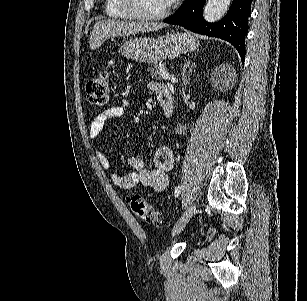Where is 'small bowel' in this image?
Returning a JSON list of instances; mask_svg holds the SVG:
<instances>
[{
    "instance_id": "1",
    "label": "small bowel",
    "mask_w": 307,
    "mask_h": 301,
    "mask_svg": "<svg viewBox=\"0 0 307 301\" xmlns=\"http://www.w3.org/2000/svg\"><path fill=\"white\" fill-rule=\"evenodd\" d=\"M151 88L158 96L167 90L166 87L157 84H153ZM127 109L128 104L123 101L99 113L91 123L89 131L90 139L94 142L98 141L106 123L122 117ZM96 156L103 168H110L109 159L103 150L97 149ZM155 162L156 168L148 169L139 155L136 152H131L128 155L127 164L132 171L125 175L113 174L112 181L114 185L121 190H128L141 184L157 192H162L168 186L167 174L174 166V156L171 149L168 147H160L156 151Z\"/></svg>"
}]
</instances>
